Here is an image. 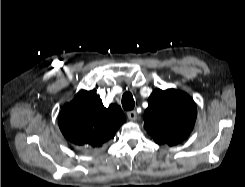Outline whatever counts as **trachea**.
<instances>
[{"label":"trachea","mask_w":245,"mask_h":187,"mask_svg":"<svg viewBox=\"0 0 245 187\" xmlns=\"http://www.w3.org/2000/svg\"><path fill=\"white\" fill-rule=\"evenodd\" d=\"M122 106L127 111L134 108L135 101L131 93L127 92L122 96Z\"/></svg>","instance_id":"obj_1"}]
</instances>
